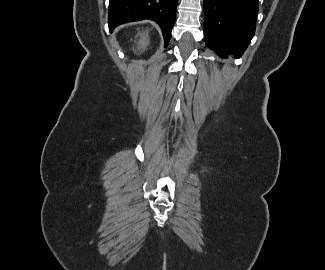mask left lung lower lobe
<instances>
[{
  "label": "left lung lower lobe",
  "instance_id": "0a47b994",
  "mask_svg": "<svg viewBox=\"0 0 325 270\" xmlns=\"http://www.w3.org/2000/svg\"><path fill=\"white\" fill-rule=\"evenodd\" d=\"M258 0H204L207 46L225 57H241L254 36Z\"/></svg>",
  "mask_w": 325,
  "mask_h": 270
}]
</instances>
